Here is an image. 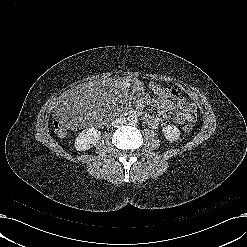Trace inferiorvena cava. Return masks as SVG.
I'll list each match as a JSON object with an SVG mask.
<instances>
[{
	"instance_id": "1",
	"label": "inferior vena cava",
	"mask_w": 247,
	"mask_h": 247,
	"mask_svg": "<svg viewBox=\"0 0 247 247\" xmlns=\"http://www.w3.org/2000/svg\"><path fill=\"white\" fill-rule=\"evenodd\" d=\"M126 123V118L125 117H122V116H119V117H116L113 121H112V126L114 127H118L120 125H124Z\"/></svg>"
}]
</instances>
